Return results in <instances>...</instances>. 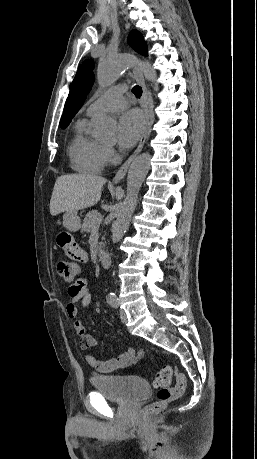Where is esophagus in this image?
<instances>
[{"label": "esophagus", "instance_id": "1", "mask_svg": "<svg viewBox=\"0 0 257 459\" xmlns=\"http://www.w3.org/2000/svg\"><path fill=\"white\" fill-rule=\"evenodd\" d=\"M133 73H134V77H135L136 81L142 87L141 106H142V109H143V112H144V117H145L144 128H143L142 136L140 138V142H139L137 148L131 154V156L123 163V165L118 169V171L116 172V174H115V176H114V178L112 180V184L119 183L126 176V173H127L128 169H129L130 164L137 157V155L141 152V150H142V148L144 146V143H145V140H146V137H147V133H148V129H149V109H148L147 87H146L145 80H144V77H143V74H142L141 70L139 68L135 67L133 69Z\"/></svg>", "mask_w": 257, "mask_h": 459}]
</instances>
